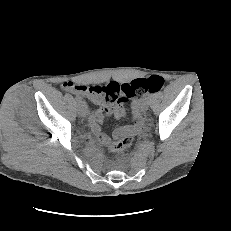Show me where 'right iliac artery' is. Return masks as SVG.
Masks as SVG:
<instances>
[{
  "label": "right iliac artery",
  "instance_id": "1",
  "mask_svg": "<svg viewBox=\"0 0 231 231\" xmlns=\"http://www.w3.org/2000/svg\"><path fill=\"white\" fill-rule=\"evenodd\" d=\"M76 101L78 102V103H82V98L81 97H79V96H76Z\"/></svg>",
  "mask_w": 231,
  "mask_h": 231
}]
</instances>
